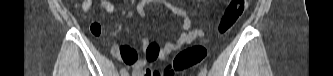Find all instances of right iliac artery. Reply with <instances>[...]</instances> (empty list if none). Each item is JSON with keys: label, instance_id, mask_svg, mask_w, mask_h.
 <instances>
[{"label": "right iliac artery", "instance_id": "obj_1", "mask_svg": "<svg viewBox=\"0 0 333 76\" xmlns=\"http://www.w3.org/2000/svg\"><path fill=\"white\" fill-rule=\"evenodd\" d=\"M120 73H121L122 76H126V75H127V71H126L125 68H122V69L120 70Z\"/></svg>", "mask_w": 333, "mask_h": 76}]
</instances>
